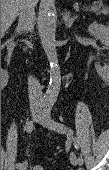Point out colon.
<instances>
[{
  "instance_id": "1",
  "label": "colon",
  "mask_w": 109,
  "mask_h": 170,
  "mask_svg": "<svg viewBox=\"0 0 109 170\" xmlns=\"http://www.w3.org/2000/svg\"><path fill=\"white\" fill-rule=\"evenodd\" d=\"M32 170H45L42 166H35Z\"/></svg>"
}]
</instances>
